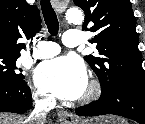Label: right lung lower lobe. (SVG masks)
Returning a JSON list of instances; mask_svg holds the SVG:
<instances>
[{"label":"right lung lower lobe","instance_id":"obj_1","mask_svg":"<svg viewBox=\"0 0 145 124\" xmlns=\"http://www.w3.org/2000/svg\"><path fill=\"white\" fill-rule=\"evenodd\" d=\"M31 108V91L25 80L0 79V112L22 114Z\"/></svg>","mask_w":145,"mask_h":124}]
</instances>
